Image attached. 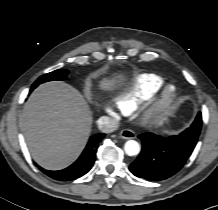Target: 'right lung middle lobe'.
Returning a JSON list of instances; mask_svg holds the SVG:
<instances>
[{
    "label": "right lung middle lobe",
    "instance_id": "1",
    "mask_svg": "<svg viewBox=\"0 0 218 210\" xmlns=\"http://www.w3.org/2000/svg\"><path fill=\"white\" fill-rule=\"evenodd\" d=\"M68 70L58 69L53 72L42 75L38 80L32 85V88L35 89L39 84L52 81V80H65L67 79Z\"/></svg>",
    "mask_w": 218,
    "mask_h": 210
}]
</instances>
